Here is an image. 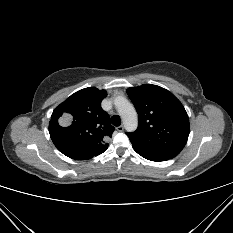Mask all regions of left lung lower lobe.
<instances>
[{
  "label": "left lung lower lobe",
  "mask_w": 233,
  "mask_h": 233,
  "mask_svg": "<svg viewBox=\"0 0 233 233\" xmlns=\"http://www.w3.org/2000/svg\"><path fill=\"white\" fill-rule=\"evenodd\" d=\"M139 155H141L142 157L148 159V160H151V161H156V162H160V161H166L168 160L167 158H164V157H160V156H157V155H154V154H151V153H147V152H144V151H141V150H137V149H134Z\"/></svg>",
  "instance_id": "left-lung-lower-lobe-1"
}]
</instances>
